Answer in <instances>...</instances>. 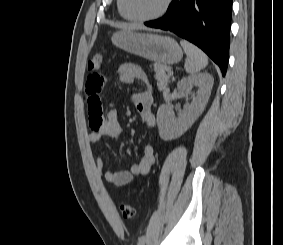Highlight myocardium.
<instances>
[{
  "instance_id": "obj_1",
  "label": "myocardium",
  "mask_w": 283,
  "mask_h": 245,
  "mask_svg": "<svg viewBox=\"0 0 283 245\" xmlns=\"http://www.w3.org/2000/svg\"><path fill=\"white\" fill-rule=\"evenodd\" d=\"M171 4H172V0H164L162 7L155 14H153L151 16H147V17H134V16L130 15L127 11L126 0H121V7H122V12L124 14V17L126 19H128L130 21H134V22H150V21L157 20V19L163 17L167 13Z\"/></svg>"
}]
</instances>
